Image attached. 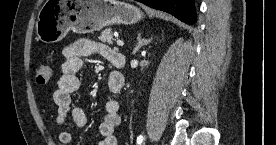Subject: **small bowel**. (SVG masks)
<instances>
[{
	"label": "small bowel",
	"mask_w": 276,
	"mask_h": 145,
	"mask_svg": "<svg viewBox=\"0 0 276 145\" xmlns=\"http://www.w3.org/2000/svg\"><path fill=\"white\" fill-rule=\"evenodd\" d=\"M115 54L116 52L107 45L89 39L76 40L64 48V60L61 64L62 75L57 81V89L53 94L54 103L58 108L55 117V125L58 128L64 126L69 115L76 128H83L87 123L84 110L72 105V94L80 87L77 74L83 66V58L90 55H100L111 61ZM114 75V71L109 74L108 85L113 92H117L110 87V80ZM120 121L119 101L115 98H109L105 103V116L100 124V133L103 139L99 145H117L114 131ZM59 141L64 145L70 144L72 141L71 133L65 130L60 131Z\"/></svg>",
	"instance_id": "small-bowel-1"
}]
</instances>
